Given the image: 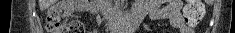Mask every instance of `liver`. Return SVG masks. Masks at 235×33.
Segmentation results:
<instances>
[{
    "mask_svg": "<svg viewBox=\"0 0 235 33\" xmlns=\"http://www.w3.org/2000/svg\"><path fill=\"white\" fill-rule=\"evenodd\" d=\"M55 3V0H38L39 8L41 11L46 10Z\"/></svg>",
    "mask_w": 235,
    "mask_h": 33,
    "instance_id": "liver-1",
    "label": "liver"
}]
</instances>
